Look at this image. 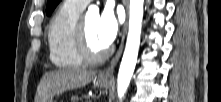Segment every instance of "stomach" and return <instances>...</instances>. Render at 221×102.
Instances as JSON below:
<instances>
[{
	"mask_svg": "<svg viewBox=\"0 0 221 102\" xmlns=\"http://www.w3.org/2000/svg\"><path fill=\"white\" fill-rule=\"evenodd\" d=\"M96 83L100 88H107L110 84V80L98 79ZM48 102H52V101H48Z\"/></svg>",
	"mask_w": 221,
	"mask_h": 102,
	"instance_id": "obj_1",
	"label": "stomach"
}]
</instances>
